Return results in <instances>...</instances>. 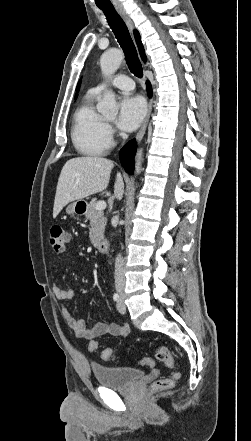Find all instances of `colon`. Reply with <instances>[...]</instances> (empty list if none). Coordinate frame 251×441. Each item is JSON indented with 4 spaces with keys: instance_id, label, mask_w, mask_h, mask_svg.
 <instances>
[{
    "instance_id": "obj_1",
    "label": "colon",
    "mask_w": 251,
    "mask_h": 441,
    "mask_svg": "<svg viewBox=\"0 0 251 441\" xmlns=\"http://www.w3.org/2000/svg\"><path fill=\"white\" fill-rule=\"evenodd\" d=\"M49 240L52 248L56 252H62L66 248L70 240V234L61 226H54L50 230ZM98 348H99V343L97 341H91L89 343V350L91 352L97 351ZM101 356L106 361H110L114 359V355L112 351L109 349L103 350ZM155 358L158 361L162 362L167 368L171 369L172 373L167 377L155 381L151 385V390L157 392L172 388L180 377V373L177 371V364L175 359L171 355L168 348L163 345L157 347ZM141 363L144 366L151 367L154 365V360L152 358H144L141 360Z\"/></svg>"
}]
</instances>
